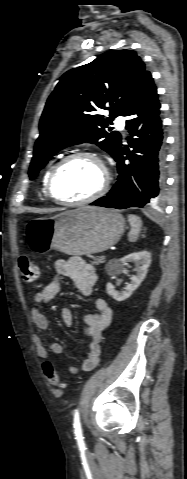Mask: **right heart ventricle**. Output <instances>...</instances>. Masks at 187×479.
I'll return each instance as SVG.
<instances>
[{
	"label": "right heart ventricle",
	"instance_id": "right-heart-ventricle-1",
	"mask_svg": "<svg viewBox=\"0 0 187 479\" xmlns=\"http://www.w3.org/2000/svg\"><path fill=\"white\" fill-rule=\"evenodd\" d=\"M54 165H50L44 172L43 176H42V180H41V190H42V194L44 195L45 198H48L47 195H46V191H45V187H46V182H47V178H48V175L52 169Z\"/></svg>",
	"mask_w": 187,
	"mask_h": 479
}]
</instances>
